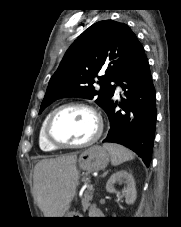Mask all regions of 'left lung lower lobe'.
I'll return each instance as SVG.
<instances>
[{"mask_svg":"<svg viewBox=\"0 0 181 227\" xmlns=\"http://www.w3.org/2000/svg\"><path fill=\"white\" fill-rule=\"evenodd\" d=\"M117 84L125 91L126 98L119 103L123 112L115 111L117 102H112L107 108L110 130L103 142L119 143L130 148L148 167L155 138L156 92L141 44L136 48Z\"/></svg>","mask_w":181,"mask_h":227,"instance_id":"left-lung-lower-lobe-1","label":"left lung lower lobe"}]
</instances>
